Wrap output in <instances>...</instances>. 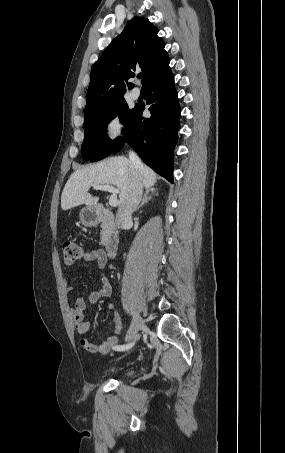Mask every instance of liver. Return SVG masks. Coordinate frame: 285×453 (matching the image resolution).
<instances>
[{
  "label": "liver",
  "mask_w": 285,
  "mask_h": 453,
  "mask_svg": "<svg viewBox=\"0 0 285 453\" xmlns=\"http://www.w3.org/2000/svg\"><path fill=\"white\" fill-rule=\"evenodd\" d=\"M133 176L129 159L123 156L110 157L102 162L76 170L68 179L61 195V208L69 210L85 204L94 206L99 198L88 193L94 184L115 185L119 191V205L128 194ZM142 184L146 189L152 188L157 180L156 173L149 167L141 170Z\"/></svg>",
  "instance_id": "6515ba94"
}]
</instances>
